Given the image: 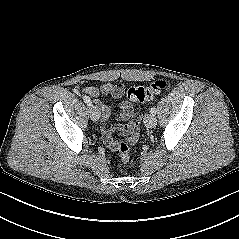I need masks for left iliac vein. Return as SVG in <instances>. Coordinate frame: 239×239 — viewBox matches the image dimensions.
I'll return each mask as SVG.
<instances>
[{
    "label": "left iliac vein",
    "mask_w": 239,
    "mask_h": 239,
    "mask_svg": "<svg viewBox=\"0 0 239 239\" xmlns=\"http://www.w3.org/2000/svg\"><path fill=\"white\" fill-rule=\"evenodd\" d=\"M157 119L153 114H146L144 117V124L147 128H154L156 126Z\"/></svg>",
    "instance_id": "obj_1"
}]
</instances>
